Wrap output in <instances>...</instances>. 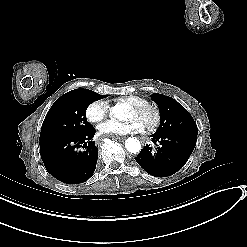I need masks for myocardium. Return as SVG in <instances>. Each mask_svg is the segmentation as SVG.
<instances>
[{
	"instance_id": "f54148a6",
	"label": "myocardium",
	"mask_w": 247,
	"mask_h": 247,
	"mask_svg": "<svg viewBox=\"0 0 247 247\" xmlns=\"http://www.w3.org/2000/svg\"><path fill=\"white\" fill-rule=\"evenodd\" d=\"M128 108L135 113H141L145 109H150L153 112L154 118L150 128L147 131H144V134L152 135L158 130L161 122V111L159 106L155 102L144 101L139 105H128Z\"/></svg>"
}]
</instances>
